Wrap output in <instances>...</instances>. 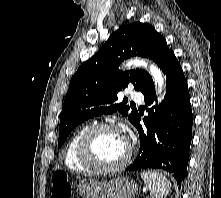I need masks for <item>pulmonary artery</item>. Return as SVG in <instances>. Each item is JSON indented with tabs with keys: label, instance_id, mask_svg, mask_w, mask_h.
Segmentation results:
<instances>
[{
	"label": "pulmonary artery",
	"instance_id": "e3ab8cb5",
	"mask_svg": "<svg viewBox=\"0 0 221 198\" xmlns=\"http://www.w3.org/2000/svg\"><path fill=\"white\" fill-rule=\"evenodd\" d=\"M130 96L133 100L138 101V102H141L143 100V94L138 91H132L130 93Z\"/></svg>",
	"mask_w": 221,
	"mask_h": 198
}]
</instances>
